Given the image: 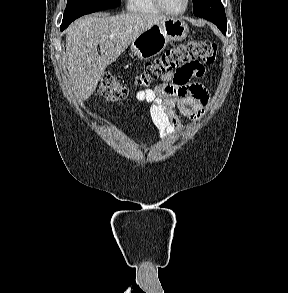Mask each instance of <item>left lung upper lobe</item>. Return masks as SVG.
Listing matches in <instances>:
<instances>
[{"mask_svg":"<svg viewBox=\"0 0 288 293\" xmlns=\"http://www.w3.org/2000/svg\"><path fill=\"white\" fill-rule=\"evenodd\" d=\"M193 12L195 16L213 22L223 34H226L227 20L220 0H193Z\"/></svg>","mask_w":288,"mask_h":293,"instance_id":"obj_1","label":"left lung upper lobe"}]
</instances>
